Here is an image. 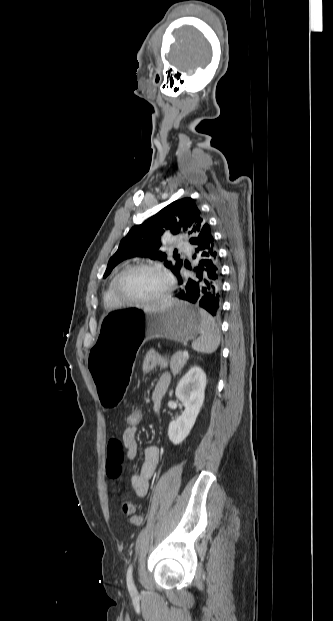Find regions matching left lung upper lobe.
Listing matches in <instances>:
<instances>
[{"instance_id":"obj_1","label":"left lung upper lobe","mask_w":333,"mask_h":621,"mask_svg":"<svg viewBox=\"0 0 333 621\" xmlns=\"http://www.w3.org/2000/svg\"><path fill=\"white\" fill-rule=\"evenodd\" d=\"M205 225H208L207 221L202 217L192 198H182L170 203L141 225L132 227L126 237L121 240L117 252L110 258L104 278L120 262L136 256L160 259L176 275L183 262L177 260L173 263L166 260V254L159 251L162 245V235L166 231L174 235L188 234L192 242Z\"/></svg>"}]
</instances>
